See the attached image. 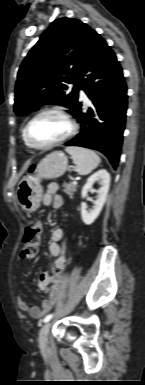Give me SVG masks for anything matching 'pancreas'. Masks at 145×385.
<instances>
[{
    "label": "pancreas",
    "instance_id": "pancreas-1",
    "mask_svg": "<svg viewBox=\"0 0 145 385\" xmlns=\"http://www.w3.org/2000/svg\"><path fill=\"white\" fill-rule=\"evenodd\" d=\"M64 192L70 196V198L73 197V194L76 192L77 185H74L73 183L64 184Z\"/></svg>",
    "mask_w": 145,
    "mask_h": 385
}]
</instances>
